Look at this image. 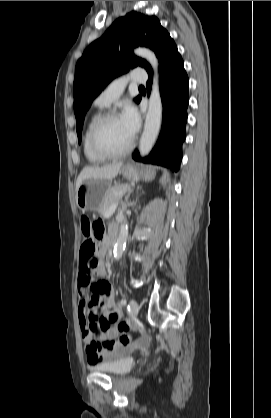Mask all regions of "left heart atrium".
<instances>
[{
    "instance_id": "obj_1",
    "label": "left heart atrium",
    "mask_w": 271,
    "mask_h": 418,
    "mask_svg": "<svg viewBox=\"0 0 271 418\" xmlns=\"http://www.w3.org/2000/svg\"><path fill=\"white\" fill-rule=\"evenodd\" d=\"M120 119L127 134L132 139L137 133L140 126V117L137 110L132 106H128L124 110Z\"/></svg>"
}]
</instances>
